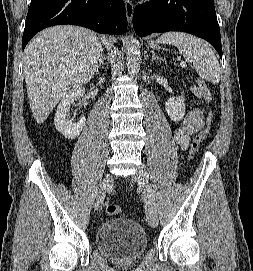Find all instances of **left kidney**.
Returning a JSON list of instances; mask_svg holds the SVG:
<instances>
[{
	"label": "left kidney",
	"instance_id": "1",
	"mask_svg": "<svg viewBox=\"0 0 253 271\" xmlns=\"http://www.w3.org/2000/svg\"><path fill=\"white\" fill-rule=\"evenodd\" d=\"M165 109L173 121L182 120L186 109L184 96L169 98L165 103Z\"/></svg>",
	"mask_w": 253,
	"mask_h": 271
}]
</instances>
